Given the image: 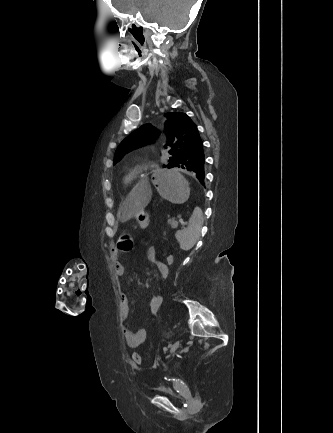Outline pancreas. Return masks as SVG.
Segmentation results:
<instances>
[{"label":"pancreas","mask_w":333,"mask_h":433,"mask_svg":"<svg viewBox=\"0 0 333 433\" xmlns=\"http://www.w3.org/2000/svg\"><path fill=\"white\" fill-rule=\"evenodd\" d=\"M168 223H169V225L171 226V228H173V229H175V228H177L178 227V222L176 221V220H174V219H170L169 221H168Z\"/></svg>","instance_id":"obj_1"}]
</instances>
